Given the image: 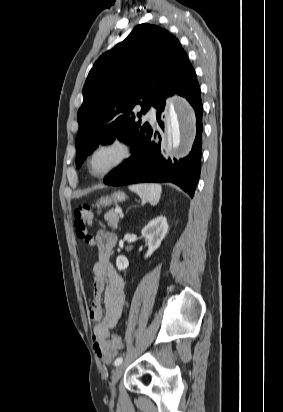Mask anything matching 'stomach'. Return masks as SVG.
<instances>
[{"mask_svg": "<svg viewBox=\"0 0 283 412\" xmlns=\"http://www.w3.org/2000/svg\"><path fill=\"white\" fill-rule=\"evenodd\" d=\"M126 199V195L123 192H115L111 196L102 197L97 203L98 206H107L110 205L113 201L120 202Z\"/></svg>", "mask_w": 283, "mask_h": 412, "instance_id": "stomach-1", "label": "stomach"}]
</instances>
